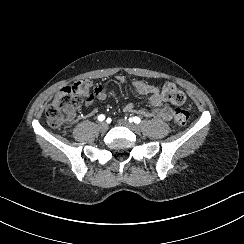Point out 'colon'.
<instances>
[{"label":"colon","mask_w":244,"mask_h":244,"mask_svg":"<svg viewBox=\"0 0 244 244\" xmlns=\"http://www.w3.org/2000/svg\"><path fill=\"white\" fill-rule=\"evenodd\" d=\"M160 90L163 97L175 105H184L187 101L185 93L171 82L161 83ZM94 95L95 85L89 79L79 80L73 85L63 87L47 108L48 125L55 130L70 125L74 121L75 113L87 99L93 98ZM188 121V111L178 110L174 113L173 123L176 127L183 128Z\"/></svg>","instance_id":"1"}]
</instances>
